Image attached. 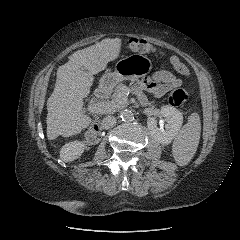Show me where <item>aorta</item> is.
<instances>
[{"instance_id":"aorta-1","label":"aorta","mask_w":240,"mask_h":240,"mask_svg":"<svg viewBox=\"0 0 240 240\" xmlns=\"http://www.w3.org/2000/svg\"><path fill=\"white\" fill-rule=\"evenodd\" d=\"M120 118L125 122H131L134 120V114L129 109H124L120 112Z\"/></svg>"}]
</instances>
